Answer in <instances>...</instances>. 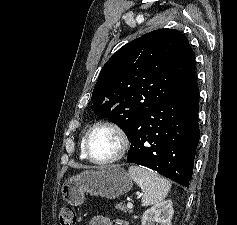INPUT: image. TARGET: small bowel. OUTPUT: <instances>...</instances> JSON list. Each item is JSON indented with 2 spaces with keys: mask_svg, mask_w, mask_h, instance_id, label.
Segmentation results:
<instances>
[{
  "mask_svg": "<svg viewBox=\"0 0 237 225\" xmlns=\"http://www.w3.org/2000/svg\"><path fill=\"white\" fill-rule=\"evenodd\" d=\"M89 225H116V224H114L108 217L98 215L90 220Z\"/></svg>",
  "mask_w": 237,
  "mask_h": 225,
  "instance_id": "small-bowel-1",
  "label": "small bowel"
}]
</instances>
